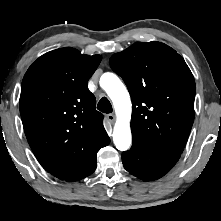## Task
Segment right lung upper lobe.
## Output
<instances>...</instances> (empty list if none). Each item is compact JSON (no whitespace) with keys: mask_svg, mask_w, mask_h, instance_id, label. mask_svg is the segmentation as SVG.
Instances as JSON below:
<instances>
[{"mask_svg":"<svg viewBox=\"0 0 221 221\" xmlns=\"http://www.w3.org/2000/svg\"><path fill=\"white\" fill-rule=\"evenodd\" d=\"M101 59L60 48L39 57L23 78L24 132L37 160L59 179L75 174L109 139L87 86Z\"/></svg>","mask_w":221,"mask_h":221,"instance_id":"1","label":"right lung upper lobe"}]
</instances>
